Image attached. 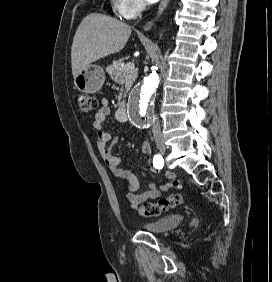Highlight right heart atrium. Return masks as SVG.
<instances>
[{"mask_svg":"<svg viewBox=\"0 0 272 282\" xmlns=\"http://www.w3.org/2000/svg\"><path fill=\"white\" fill-rule=\"evenodd\" d=\"M146 7L144 0H115L114 11L124 20L135 19Z\"/></svg>","mask_w":272,"mask_h":282,"instance_id":"1","label":"right heart atrium"}]
</instances>
